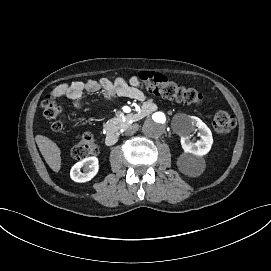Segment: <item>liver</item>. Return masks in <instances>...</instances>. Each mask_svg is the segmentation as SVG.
Listing matches in <instances>:
<instances>
[{
    "label": "liver",
    "instance_id": "6515ba94",
    "mask_svg": "<svg viewBox=\"0 0 271 271\" xmlns=\"http://www.w3.org/2000/svg\"><path fill=\"white\" fill-rule=\"evenodd\" d=\"M35 141L46 163L54 172H58L61 168V152L58 146L52 140L42 135H37Z\"/></svg>",
    "mask_w": 271,
    "mask_h": 271
}]
</instances>
